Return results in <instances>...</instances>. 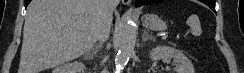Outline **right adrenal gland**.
I'll use <instances>...</instances> for the list:
<instances>
[{"mask_svg": "<svg viewBox=\"0 0 244 73\" xmlns=\"http://www.w3.org/2000/svg\"><path fill=\"white\" fill-rule=\"evenodd\" d=\"M102 42L100 44L95 45L92 49L91 52L93 55H96L98 51L102 48Z\"/></svg>", "mask_w": 244, "mask_h": 73, "instance_id": "obj_1", "label": "right adrenal gland"}]
</instances>
